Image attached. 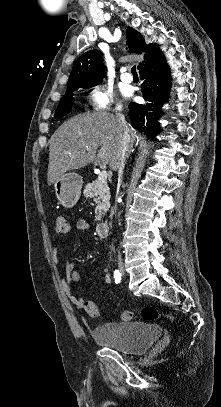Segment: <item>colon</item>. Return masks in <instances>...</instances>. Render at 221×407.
Masks as SVG:
<instances>
[{"label": "colon", "mask_w": 221, "mask_h": 407, "mask_svg": "<svg viewBox=\"0 0 221 407\" xmlns=\"http://www.w3.org/2000/svg\"><path fill=\"white\" fill-rule=\"evenodd\" d=\"M56 233L58 235H64L69 230L68 221L65 217L60 216L56 220L55 226ZM84 308L89 316L96 318L100 316L99 308L91 301H86L84 303ZM141 318L145 321H155L159 318H167L173 319L169 314L161 313L156 307L154 306H145L140 311ZM132 313L130 311H122L120 317L124 321H129L132 319Z\"/></svg>", "instance_id": "5ec220e1"}]
</instances>
